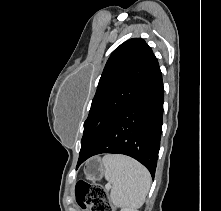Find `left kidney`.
<instances>
[{
    "mask_svg": "<svg viewBox=\"0 0 221 211\" xmlns=\"http://www.w3.org/2000/svg\"><path fill=\"white\" fill-rule=\"evenodd\" d=\"M121 211H137V210H133V209L125 208V209H122Z\"/></svg>",
    "mask_w": 221,
    "mask_h": 211,
    "instance_id": "1",
    "label": "left kidney"
}]
</instances>
